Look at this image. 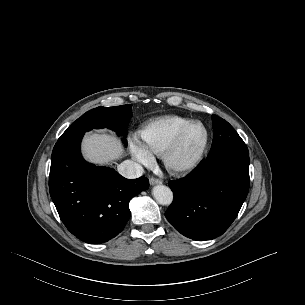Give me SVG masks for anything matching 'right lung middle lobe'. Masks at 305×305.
Segmentation results:
<instances>
[{
    "label": "right lung middle lobe",
    "mask_w": 305,
    "mask_h": 305,
    "mask_svg": "<svg viewBox=\"0 0 305 305\" xmlns=\"http://www.w3.org/2000/svg\"><path fill=\"white\" fill-rule=\"evenodd\" d=\"M131 116V105L97 107L86 112L71 124L58 141L63 142L75 136L84 135L86 131L93 128L104 127L115 130L118 134L126 135L125 128ZM123 141L125 142V139Z\"/></svg>",
    "instance_id": "obj_1"
}]
</instances>
